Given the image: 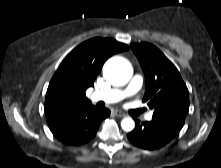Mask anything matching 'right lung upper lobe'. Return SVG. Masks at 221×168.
Listing matches in <instances>:
<instances>
[{"label": "right lung upper lobe", "instance_id": "right-lung-upper-lobe-1", "mask_svg": "<svg viewBox=\"0 0 221 168\" xmlns=\"http://www.w3.org/2000/svg\"><path fill=\"white\" fill-rule=\"evenodd\" d=\"M126 44L109 38H93L73 49L52 77L45 99V114L90 105L86 89L93 86L104 62L128 50Z\"/></svg>", "mask_w": 221, "mask_h": 168}]
</instances>
